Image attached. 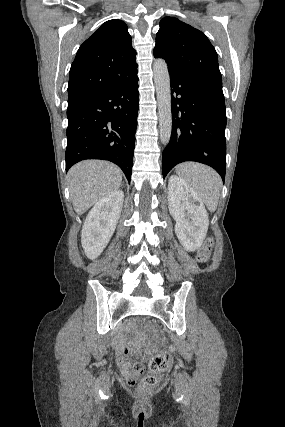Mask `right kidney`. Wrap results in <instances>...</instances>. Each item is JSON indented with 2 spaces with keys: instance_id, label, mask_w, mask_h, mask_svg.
<instances>
[{
  "instance_id": "right-kidney-1",
  "label": "right kidney",
  "mask_w": 285,
  "mask_h": 427,
  "mask_svg": "<svg viewBox=\"0 0 285 427\" xmlns=\"http://www.w3.org/2000/svg\"><path fill=\"white\" fill-rule=\"evenodd\" d=\"M124 201L122 190H116L101 198L91 209L82 228L81 243L90 259L97 258L109 243Z\"/></svg>"
}]
</instances>
